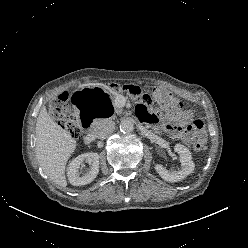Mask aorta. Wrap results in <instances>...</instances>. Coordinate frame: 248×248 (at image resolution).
I'll return each mask as SVG.
<instances>
[{
    "label": "aorta",
    "instance_id": "1",
    "mask_svg": "<svg viewBox=\"0 0 248 248\" xmlns=\"http://www.w3.org/2000/svg\"><path fill=\"white\" fill-rule=\"evenodd\" d=\"M119 128L122 133H131L134 129V124L131 120H122Z\"/></svg>",
    "mask_w": 248,
    "mask_h": 248
}]
</instances>
